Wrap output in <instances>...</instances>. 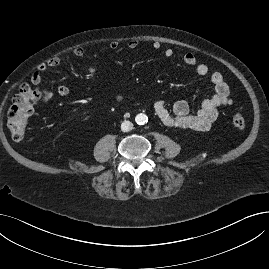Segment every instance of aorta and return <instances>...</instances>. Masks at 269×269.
Returning a JSON list of instances; mask_svg holds the SVG:
<instances>
[{
	"instance_id": "762f6f07",
	"label": "aorta",
	"mask_w": 269,
	"mask_h": 269,
	"mask_svg": "<svg viewBox=\"0 0 269 269\" xmlns=\"http://www.w3.org/2000/svg\"><path fill=\"white\" fill-rule=\"evenodd\" d=\"M136 122L138 124H144L147 120V117L145 114H138L135 118Z\"/></svg>"
}]
</instances>
